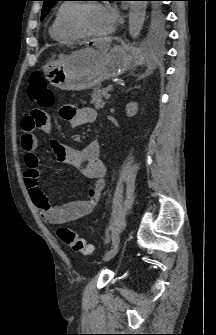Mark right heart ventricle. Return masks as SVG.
I'll list each match as a JSON object with an SVG mask.
<instances>
[{
    "mask_svg": "<svg viewBox=\"0 0 216 335\" xmlns=\"http://www.w3.org/2000/svg\"><path fill=\"white\" fill-rule=\"evenodd\" d=\"M75 5L71 2H63L57 7L49 28L50 36L55 41L68 43L83 37L73 31L69 25V17Z\"/></svg>",
    "mask_w": 216,
    "mask_h": 335,
    "instance_id": "e07e8e85",
    "label": "right heart ventricle"
}]
</instances>
